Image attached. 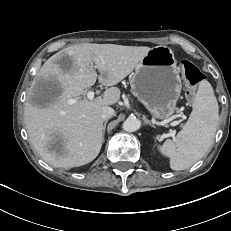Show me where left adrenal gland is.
<instances>
[{
    "label": "left adrenal gland",
    "instance_id": "left-adrenal-gland-1",
    "mask_svg": "<svg viewBox=\"0 0 231 231\" xmlns=\"http://www.w3.org/2000/svg\"><path fill=\"white\" fill-rule=\"evenodd\" d=\"M144 122H145L146 124H149V125L152 126V127H155L146 117H144Z\"/></svg>",
    "mask_w": 231,
    "mask_h": 231
}]
</instances>
